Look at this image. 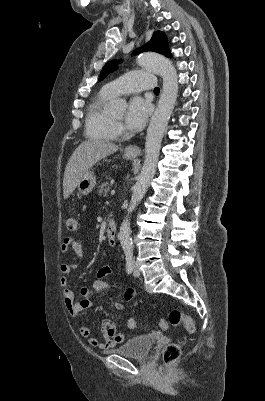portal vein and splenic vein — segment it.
Segmentation results:
<instances>
[{"label": "portal vein and splenic vein", "mask_w": 265, "mask_h": 401, "mask_svg": "<svg viewBox=\"0 0 265 401\" xmlns=\"http://www.w3.org/2000/svg\"><path fill=\"white\" fill-rule=\"evenodd\" d=\"M111 196H112V197H115V196H116V191H115V189H112V191H111Z\"/></svg>", "instance_id": "18ae733b"}]
</instances>
